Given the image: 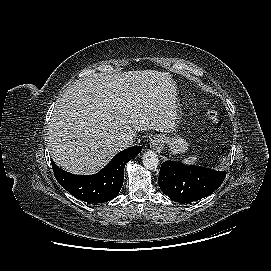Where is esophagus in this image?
<instances>
[{
  "instance_id": "esophagus-1",
  "label": "esophagus",
  "mask_w": 271,
  "mask_h": 271,
  "mask_svg": "<svg viewBox=\"0 0 271 271\" xmlns=\"http://www.w3.org/2000/svg\"><path fill=\"white\" fill-rule=\"evenodd\" d=\"M150 147L154 150L160 151L163 148L162 138L158 135L153 136L150 139Z\"/></svg>"
}]
</instances>
